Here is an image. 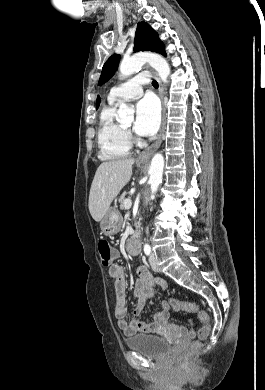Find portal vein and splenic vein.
Segmentation results:
<instances>
[{"mask_svg":"<svg viewBox=\"0 0 265 390\" xmlns=\"http://www.w3.org/2000/svg\"><path fill=\"white\" fill-rule=\"evenodd\" d=\"M124 206L127 208H130L132 206V200L131 199H126L124 201Z\"/></svg>","mask_w":265,"mask_h":390,"instance_id":"1","label":"portal vein and splenic vein"}]
</instances>
